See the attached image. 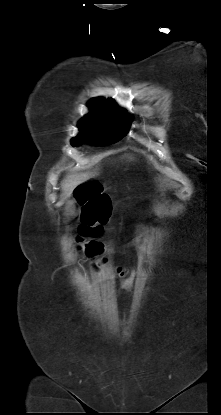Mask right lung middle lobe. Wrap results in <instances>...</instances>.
<instances>
[{
  "label": "right lung middle lobe",
  "mask_w": 221,
  "mask_h": 415,
  "mask_svg": "<svg viewBox=\"0 0 221 415\" xmlns=\"http://www.w3.org/2000/svg\"><path fill=\"white\" fill-rule=\"evenodd\" d=\"M80 133L71 140L72 146L82 143L109 145L123 138L129 129V117L125 111H108L90 108L78 123Z\"/></svg>",
  "instance_id": "obj_1"
}]
</instances>
